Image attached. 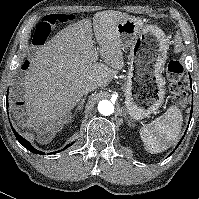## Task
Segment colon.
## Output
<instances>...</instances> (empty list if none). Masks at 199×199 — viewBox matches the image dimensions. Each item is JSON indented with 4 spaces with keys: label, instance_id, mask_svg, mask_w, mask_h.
<instances>
[{
    "label": "colon",
    "instance_id": "obj_1",
    "mask_svg": "<svg viewBox=\"0 0 199 199\" xmlns=\"http://www.w3.org/2000/svg\"><path fill=\"white\" fill-rule=\"evenodd\" d=\"M68 21H70V15L68 14H49L45 16L35 31L34 39L36 43L45 42L47 36L51 33L57 23ZM183 71L184 68L177 59H172L168 62V90L172 94L175 103L180 106H183L186 103L185 94L180 82Z\"/></svg>",
    "mask_w": 199,
    "mask_h": 199
}]
</instances>
